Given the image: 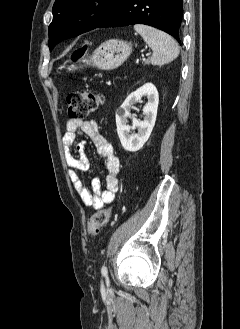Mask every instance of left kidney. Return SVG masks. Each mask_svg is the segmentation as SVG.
<instances>
[{"mask_svg":"<svg viewBox=\"0 0 240 329\" xmlns=\"http://www.w3.org/2000/svg\"><path fill=\"white\" fill-rule=\"evenodd\" d=\"M142 97H147L148 102L143 108L144 119L137 120L131 115L133 104L139 102ZM159 96L156 87L152 83H146L136 91L132 92L116 112L117 133L122 147L130 152L138 151L148 140L155 125ZM128 118H132V126L128 125ZM138 129L133 134L131 130Z\"/></svg>","mask_w":240,"mask_h":329,"instance_id":"left-kidney-1","label":"left kidney"}]
</instances>
